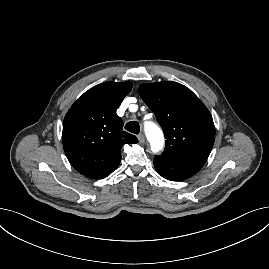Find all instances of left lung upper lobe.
Listing matches in <instances>:
<instances>
[{
    "label": "left lung upper lobe",
    "instance_id": "left-lung-upper-lobe-1",
    "mask_svg": "<svg viewBox=\"0 0 269 269\" xmlns=\"http://www.w3.org/2000/svg\"><path fill=\"white\" fill-rule=\"evenodd\" d=\"M139 94L163 129V156L207 160L215 127L210 112L190 89L176 82H156L140 85Z\"/></svg>",
    "mask_w": 269,
    "mask_h": 269
}]
</instances>
